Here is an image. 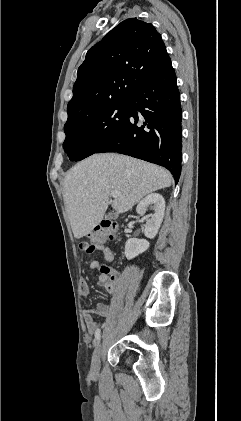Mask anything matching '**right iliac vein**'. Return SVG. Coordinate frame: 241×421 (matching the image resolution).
I'll return each mask as SVG.
<instances>
[{
  "label": "right iliac vein",
  "instance_id": "obj_1",
  "mask_svg": "<svg viewBox=\"0 0 241 421\" xmlns=\"http://www.w3.org/2000/svg\"><path fill=\"white\" fill-rule=\"evenodd\" d=\"M101 351H102V344L99 343L96 349L94 350L92 362H91V372L93 374H96L99 370Z\"/></svg>",
  "mask_w": 241,
  "mask_h": 421
}]
</instances>
